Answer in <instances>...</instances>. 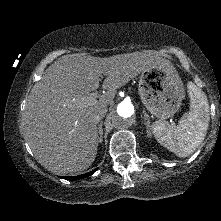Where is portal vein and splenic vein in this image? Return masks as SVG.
Wrapping results in <instances>:
<instances>
[{"label":"portal vein and splenic vein","mask_w":221,"mask_h":221,"mask_svg":"<svg viewBox=\"0 0 221 221\" xmlns=\"http://www.w3.org/2000/svg\"><path fill=\"white\" fill-rule=\"evenodd\" d=\"M96 96H97V93H90L89 94V97L85 100V103L88 104V105H91L93 103V101L96 100Z\"/></svg>","instance_id":"18ae733b"}]
</instances>
